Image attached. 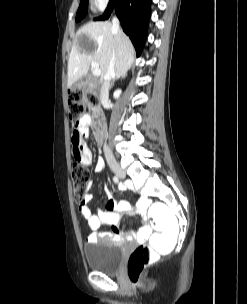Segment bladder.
<instances>
[{
	"instance_id": "1",
	"label": "bladder",
	"mask_w": 247,
	"mask_h": 304,
	"mask_svg": "<svg viewBox=\"0 0 247 304\" xmlns=\"http://www.w3.org/2000/svg\"><path fill=\"white\" fill-rule=\"evenodd\" d=\"M84 254L90 269L114 274L121 266L124 249L122 242L102 238L87 244L84 248Z\"/></svg>"
}]
</instances>
